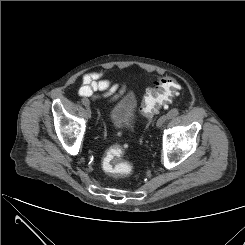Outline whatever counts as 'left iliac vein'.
<instances>
[{
  "label": "left iliac vein",
  "mask_w": 245,
  "mask_h": 245,
  "mask_svg": "<svg viewBox=\"0 0 245 245\" xmlns=\"http://www.w3.org/2000/svg\"><path fill=\"white\" fill-rule=\"evenodd\" d=\"M168 119H169L168 115H163L162 117H160L157 121V127L162 128Z\"/></svg>",
  "instance_id": "obj_1"
}]
</instances>
